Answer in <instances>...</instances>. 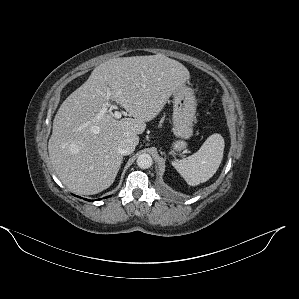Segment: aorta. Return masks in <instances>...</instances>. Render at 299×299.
Returning a JSON list of instances; mask_svg holds the SVG:
<instances>
[{
	"label": "aorta",
	"mask_w": 299,
	"mask_h": 299,
	"mask_svg": "<svg viewBox=\"0 0 299 299\" xmlns=\"http://www.w3.org/2000/svg\"><path fill=\"white\" fill-rule=\"evenodd\" d=\"M136 162L138 167H140L141 169H148L151 167L153 161L152 157L149 154L143 153L138 156Z\"/></svg>",
	"instance_id": "obj_1"
}]
</instances>
